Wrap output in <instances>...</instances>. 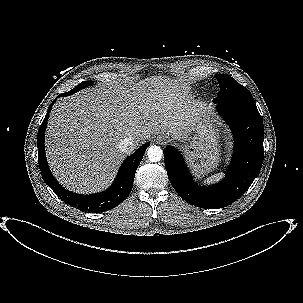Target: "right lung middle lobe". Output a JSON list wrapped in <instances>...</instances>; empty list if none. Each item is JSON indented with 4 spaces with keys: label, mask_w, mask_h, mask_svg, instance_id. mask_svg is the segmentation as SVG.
<instances>
[{
    "label": "right lung middle lobe",
    "mask_w": 303,
    "mask_h": 303,
    "mask_svg": "<svg viewBox=\"0 0 303 303\" xmlns=\"http://www.w3.org/2000/svg\"><path fill=\"white\" fill-rule=\"evenodd\" d=\"M91 85H93V81H84V82L80 83L79 85H77L75 88H73L71 91H69L65 94L71 95V94L76 93L79 90H81L87 86H91Z\"/></svg>",
    "instance_id": "1"
}]
</instances>
